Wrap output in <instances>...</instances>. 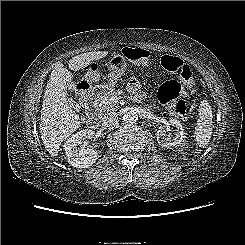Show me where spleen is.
<instances>
[{
    "label": "spleen",
    "instance_id": "1",
    "mask_svg": "<svg viewBox=\"0 0 245 245\" xmlns=\"http://www.w3.org/2000/svg\"><path fill=\"white\" fill-rule=\"evenodd\" d=\"M213 116L210 104L203 100L199 106V118L195 127L196 142L200 147L208 145L213 130Z\"/></svg>",
    "mask_w": 245,
    "mask_h": 245
}]
</instances>
